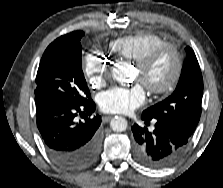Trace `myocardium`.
I'll return each instance as SVG.
<instances>
[{"label": "myocardium", "mask_w": 223, "mask_h": 188, "mask_svg": "<svg viewBox=\"0 0 223 188\" xmlns=\"http://www.w3.org/2000/svg\"><path fill=\"white\" fill-rule=\"evenodd\" d=\"M166 51L172 54L174 61L173 71L169 80L164 85L146 86L149 93L152 95H166L172 92L179 83L184 68L183 56L180 49L174 43L163 42L162 44L148 51L142 58L135 62L137 69L141 73H144L156 62L160 55Z\"/></svg>", "instance_id": "1"}]
</instances>
